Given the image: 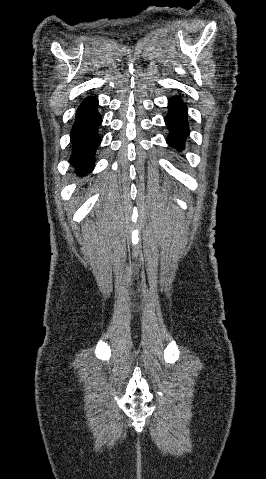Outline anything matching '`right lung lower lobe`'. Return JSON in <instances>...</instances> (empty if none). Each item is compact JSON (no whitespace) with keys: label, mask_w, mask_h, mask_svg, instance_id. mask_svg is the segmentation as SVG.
<instances>
[{"label":"right lung lower lobe","mask_w":266,"mask_h":479,"mask_svg":"<svg viewBox=\"0 0 266 479\" xmlns=\"http://www.w3.org/2000/svg\"><path fill=\"white\" fill-rule=\"evenodd\" d=\"M98 100L86 97L79 105L70 138L72 153L69 159L77 175H86L92 171L95 163V153L101 138L98 128L102 117L97 111Z\"/></svg>","instance_id":"obj_1"}]
</instances>
